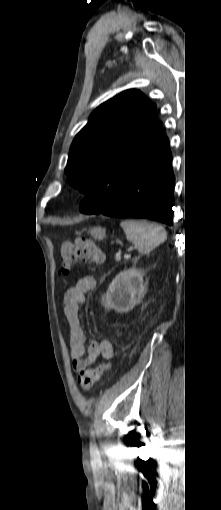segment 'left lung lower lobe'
<instances>
[{
  "label": "left lung lower lobe",
  "instance_id": "obj_1",
  "mask_svg": "<svg viewBox=\"0 0 221 510\" xmlns=\"http://www.w3.org/2000/svg\"><path fill=\"white\" fill-rule=\"evenodd\" d=\"M169 147L152 157L104 208L83 200L80 211L120 218H148L172 225L174 174Z\"/></svg>",
  "mask_w": 221,
  "mask_h": 510
}]
</instances>
